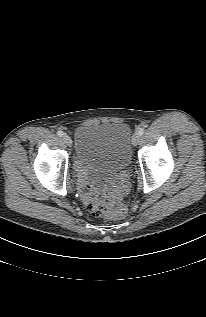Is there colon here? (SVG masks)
I'll return each mask as SVG.
<instances>
[{"instance_id":"obj_1","label":"colon","mask_w":206,"mask_h":317,"mask_svg":"<svg viewBox=\"0 0 206 317\" xmlns=\"http://www.w3.org/2000/svg\"><path fill=\"white\" fill-rule=\"evenodd\" d=\"M86 205L94 216H104L114 220L124 218L128 211L124 201H115L106 196L98 188L88 190V200Z\"/></svg>"}]
</instances>
